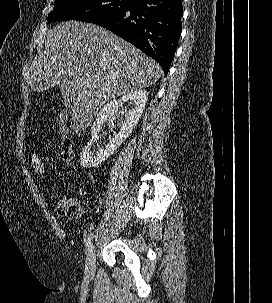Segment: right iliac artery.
<instances>
[{
    "instance_id": "right-iliac-artery-1",
    "label": "right iliac artery",
    "mask_w": 272,
    "mask_h": 303,
    "mask_svg": "<svg viewBox=\"0 0 272 303\" xmlns=\"http://www.w3.org/2000/svg\"><path fill=\"white\" fill-rule=\"evenodd\" d=\"M92 239H93V234H90L86 240H85V245L86 247H89L91 245V242H92Z\"/></svg>"
}]
</instances>
